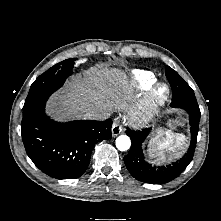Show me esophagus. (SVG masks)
Returning a JSON list of instances; mask_svg holds the SVG:
<instances>
[{
    "mask_svg": "<svg viewBox=\"0 0 221 221\" xmlns=\"http://www.w3.org/2000/svg\"><path fill=\"white\" fill-rule=\"evenodd\" d=\"M123 131V127L119 120L115 119L112 126V136L115 137Z\"/></svg>",
    "mask_w": 221,
    "mask_h": 221,
    "instance_id": "34e87169",
    "label": "esophagus"
}]
</instances>
